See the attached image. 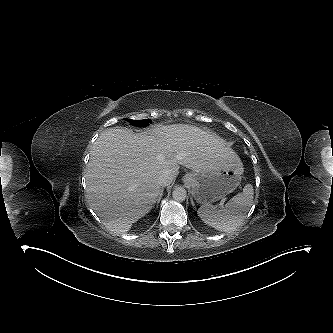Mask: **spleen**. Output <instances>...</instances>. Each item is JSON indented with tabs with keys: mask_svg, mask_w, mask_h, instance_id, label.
Returning a JSON list of instances; mask_svg holds the SVG:
<instances>
[{
	"mask_svg": "<svg viewBox=\"0 0 333 333\" xmlns=\"http://www.w3.org/2000/svg\"><path fill=\"white\" fill-rule=\"evenodd\" d=\"M253 187L245 185L242 193L231 198L222 209L212 204L202 205L197 213L202 221L218 231L230 232L236 230L246 218L253 203Z\"/></svg>",
	"mask_w": 333,
	"mask_h": 333,
	"instance_id": "1",
	"label": "spleen"
}]
</instances>
